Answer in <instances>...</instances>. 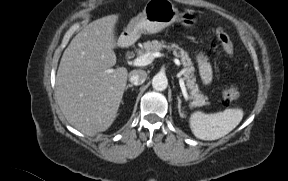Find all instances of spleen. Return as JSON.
Here are the masks:
<instances>
[{"label": "spleen", "mask_w": 288, "mask_h": 181, "mask_svg": "<svg viewBox=\"0 0 288 181\" xmlns=\"http://www.w3.org/2000/svg\"><path fill=\"white\" fill-rule=\"evenodd\" d=\"M243 111L239 108L223 112L205 114L195 111L189 119L193 134L201 140H217L231 132L242 120Z\"/></svg>", "instance_id": "spleen-1"}]
</instances>
